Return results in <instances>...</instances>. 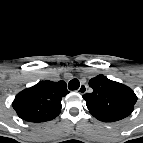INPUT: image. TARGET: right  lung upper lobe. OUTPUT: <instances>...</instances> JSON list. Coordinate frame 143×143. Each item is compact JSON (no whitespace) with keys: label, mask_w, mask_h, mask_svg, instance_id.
<instances>
[{"label":"right lung upper lobe","mask_w":143,"mask_h":143,"mask_svg":"<svg viewBox=\"0 0 143 143\" xmlns=\"http://www.w3.org/2000/svg\"><path fill=\"white\" fill-rule=\"evenodd\" d=\"M64 81H41L21 91L13 101L18 116L30 122H45L57 117L61 99L68 94Z\"/></svg>","instance_id":"1"}]
</instances>
